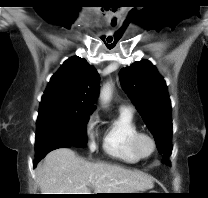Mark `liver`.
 <instances>
[{
	"mask_svg": "<svg viewBox=\"0 0 208 198\" xmlns=\"http://www.w3.org/2000/svg\"><path fill=\"white\" fill-rule=\"evenodd\" d=\"M42 194L132 193L153 188L145 174L117 165L91 163L74 151L60 148L50 152L36 169Z\"/></svg>",
	"mask_w": 208,
	"mask_h": 198,
	"instance_id": "liver-1",
	"label": "liver"
}]
</instances>
